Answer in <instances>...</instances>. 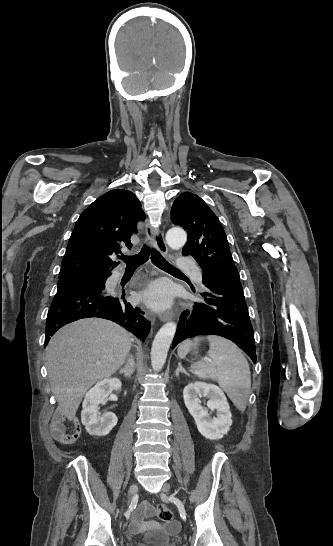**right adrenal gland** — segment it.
<instances>
[{
    "label": "right adrenal gland",
    "mask_w": 333,
    "mask_h": 546,
    "mask_svg": "<svg viewBox=\"0 0 333 546\" xmlns=\"http://www.w3.org/2000/svg\"><path fill=\"white\" fill-rule=\"evenodd\" d=\"M133 372H134V361H133V359H129L126 366L119 370V373L124 374V376L126 378H131Z\"/></svg>",
    "instance_id": "right-adrenal-gland-1"
}]
</instances>
